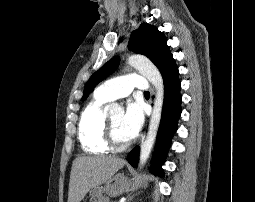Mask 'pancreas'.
<instances>
[{"label":"pancreas","instance_id":"obj_1","mask_svg":"<svg viewBox=\"0 0 255 202\" xmlns=\"http://www.w3.org/2000/svg\"><path fill=\"white\" fill-rule=\"evenodd\" d=\"M95 202H109V201H104V200H102V199H98V200L95 201Z\"/></svg>","mask_w":255,"mask_h":202}]
</instances>
